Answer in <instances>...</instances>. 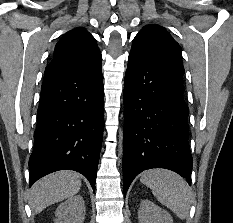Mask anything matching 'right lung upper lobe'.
<instances>
[{
    "label": "right lung upper lobe",
    "instance_id": "1",
    "mask_svg": "<svg viewBox=\"0 0 233 223\" xmlns=\"http://www.w3.org/2000/svg\"><path fill=\"white\" fill-rule=\"evenodd\" d=\"M101 64L96 40L84 28H74L56 44L54 57L46 67L44 79L84 71Z\"/></svg>",
    "mask_w": 233,
    "mask_h": 223
}]
</instances>
